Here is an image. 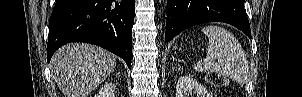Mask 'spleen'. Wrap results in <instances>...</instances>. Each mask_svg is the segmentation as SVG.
Returning <instances> with one entry per match:
<instances>
[{"label":"spleen","mask_w":302,"mask_h":97,"mask_svg":"<svg viewBox=\"0 0 302 97\" xmlns=\"http://www.w3.org/2000/svg\"><path fill=\"white\" fill-rule=\"evenodd\" d=\"M202 32L209 38L206 58L194 64V69L198 72L212 70L235 82L246 83L249 63L234 35L225 28L215 25L203 27Z\"/></svg>","instance_id":"3e777b00"}]
</instances>
